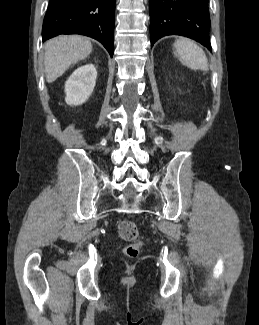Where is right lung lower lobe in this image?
<instances>
[{"label":"right lung lower lobe","instance_id":"obj_1","mask_svg":"<svg viewBox=\"0 0 259 325\" xmlns=\"http://www.w3.org/2000/svg\"><path fill=\"white\" fill-rule=\"evenodd\" d=\"M115 0H50L42 39L81 34L101 42L113 56Z\"/></svg>","mask_w":259,"mask_h":325}]
</instances>
